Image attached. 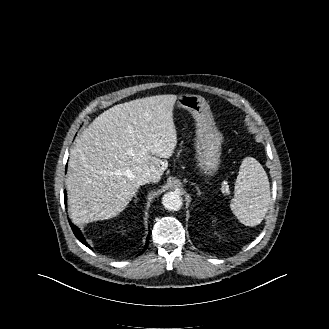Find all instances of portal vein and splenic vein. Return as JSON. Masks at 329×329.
Here are the masks:
<instances>
[{
  "label": "portal vein and splenic vein",
  "instance_id": "obj_1",
  "mask_svg": "<svg viewBox=\"0 0 329 329\" xmlns=\"http://www.w3.org/2000/svg\"><path fill=\"white\" fill-rule=\"evenodd\" d=\"M222 190H223L224 193L230 194L228 185L227 186H223Z\"/></svg>",
  "mask_w": 329,
  "mask_h": 329
}]
</instances>
